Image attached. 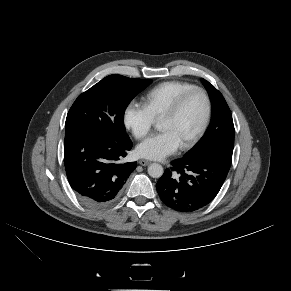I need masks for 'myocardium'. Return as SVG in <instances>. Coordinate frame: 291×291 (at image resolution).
<instances>
[{
  "mask_svg": "<svg viewBox=\"0 0 291 291\" xmlns=\"http://www.w3.org/2000/svg\"><path fill=\"white\" fill-rule=\"evenodd\" d=\"M195 93H199L200 95H202V97L204 99V102H205L204 117H203V120H202L199 128L194 133V135L186 143L180 145V148L182 150H188V149L192 148L199 141V139L202 137V135L204 134V132L206 131V129L209 125L211 115H212V102H211V98H210L208 92L201 87H193V88L189 89L188 91L181 94L172 103V105L164 112V114L161 117V119H163V118H172V117L176 116L179 113V111L181 110V108L183 107V105L185 104V102Z\"/></svg>",
  "mask_w": 291,
  "mask_h": 291,
  "instance_id": "obj_1",
  "label": "myocardium"
}]
</instances>
